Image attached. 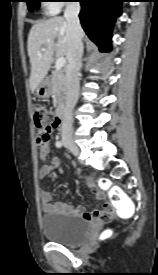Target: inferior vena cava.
I'll return each instance as SVG.
<instances>
[{"instance_id":"inferior-vena-cava-1","label":"inferior vena cava","mask_w":158,"mask_h":275,"mask_svg":"<svg viewBox=\"0 0 158 275\" xmlns=\"http://www.w3.org/2000/svg\"><path fill=\"white\" fill-rule=\"evenodd\" d=\"M79 2H69L66 6L64 17L67 21L68 49L66 58L68 60L66 72V105L62 117V136H72V111L79 95V75L82 67L83 55L82 34L80 25Z\"/></svg>"}]
</instances>
